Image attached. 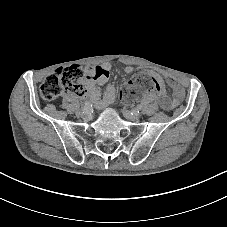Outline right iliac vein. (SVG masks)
<instances>
[{
  "label": "right iliac vein",
  "mask_w": 227,
  "mask_h": 227,
  "mask_svg": "<svg viewBox=\"0 0 227 227\" xmlns=\"http://www.w3.org/2000/svg\"><path fill=\"white\" fill-rule=\"evenodd\" d=\"M76 114H77L78 116H82V115H83V112H82V111H77Z\"/></svg>",
  "instance_id": "1"
}]
</instances>
